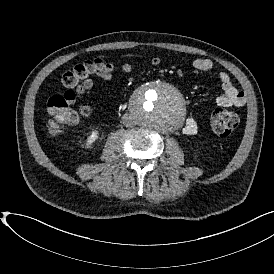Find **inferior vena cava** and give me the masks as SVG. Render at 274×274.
<instances>
[{
    "mask_svg": "<svg viewBox=\"0 0 274 274\" xmlns=\"http://www.w3.org/2000/svg\"><path fill=\"white\" fill-rule=\"evenodd\" d=\"M122 121H123V123H124L126 126H130V125H131V122H130L126 117H124Z\"/></svg>",
    "mask_w": 274,
    "mask_h": 274,
    "instance_id": "inferior-vena-cava-1",
    "label": "inferior vena cava"
}]
</instances>
